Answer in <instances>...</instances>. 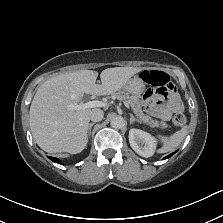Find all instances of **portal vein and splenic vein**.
Here are the masks:
<instances>
[{
	"instance_id": "portal-vein-and-splenic-vein-1",
	"label": "portal vein and splenic vein",
	"mask_w": 223,
	"mask_h": 223,
	"mask_svg": "<svg viewBox=\"0 0 223 223\" xmlns=\"http://www.w3.org/2000/svg\"><path fill=\"white\" fill-rule=\"evenodd\" d=\"M123 104H125V107L127 109H129V105L128 103H126V101L123 100ZM70 109L72 110H80V109H84V108H94V107H99V108H108L109 107V102L108 101H99V100H94V101H90L88 103H83L80 105H70L69 106ZM129 111H132L129 109ZM133 113V112H132Z\"/></svg>"
}]
</instances>
